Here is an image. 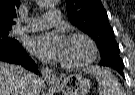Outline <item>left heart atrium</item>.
I'll return each mask as SVG.
<instances>
[{
  "mask_svg": "<svg viewBox=\"0 0 135 95\" xmlns=\"http://www.w3.org/2000/svg\"><path fill=\"white\" fill-rule=\"evenodd\" d=\"M67 39L57 32H48L30 37L27 48L36 56L48 61H62Z\"/></svg>",
  "mask_w": 135,
  "mask_h": 95,
  "instance_id": "obj_1",
  "label": "left heart atrium"
}]
</instances>
